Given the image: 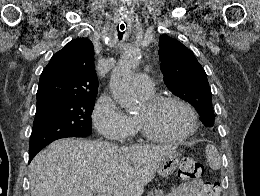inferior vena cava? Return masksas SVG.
<instances>
[{"label":"inferior vena cava","mask_w":260,"mask_h":196,"mask_svg":"<svg viewBox=\"0 0 260 196\" xmlns=\"http://www.w3.org/2000/svg\"><path fill=\"white\" fill-rule=\"evenodd\" d=\"M113 148L114 150H118V146H116V144H113Z\"/></svg>","instance_id":"inferior-vena-cava-1"}]
</instances>
